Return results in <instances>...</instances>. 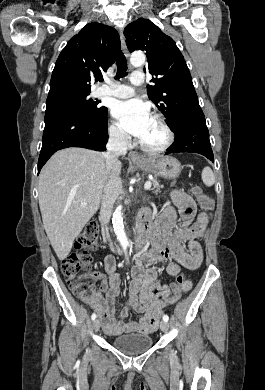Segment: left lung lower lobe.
I'll list each match as a JSON object with an SVG mask.
<instances>
[{
  "mask_svg": "<svg viewBox=\"0 0 265 390\" xmlns=\"http://www.w3.org/2000/svg\"><path fill=\"white\" fill-rule=\"evenodd\" d=\"M174 143L167 149L166 155L171 153L192 152L204 155L214 161L209 140V131L205 116L201 108L192 110L178 124Z\"/></svg>",
  "mask_w": 265,
  "mask_h": 390,
  "instance_id": "1",
  "label": "left lung lower lobe"
}]
</instances>
